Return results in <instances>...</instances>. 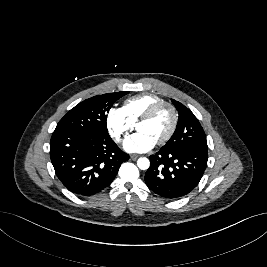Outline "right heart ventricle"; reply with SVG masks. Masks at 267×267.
Listing matches in <instances>:
<instances>
[{
  "instance_id": "1",
  "label": "right heart ventricle",
  "mask_w": 267,
  "mask_h": 267,
  "mask_svg": "<svg viewBox=\"0 0 267 267\" xmlns=\"http://www.w3.org/2000/svg\"><path fill=\"white\" fill-rule=\"evenodd\" d=\"M163 101L154 94H139L128 98L123 105V109L133 123H136L142 115L154 104Z\"/></svg>"
}]
</instances>
